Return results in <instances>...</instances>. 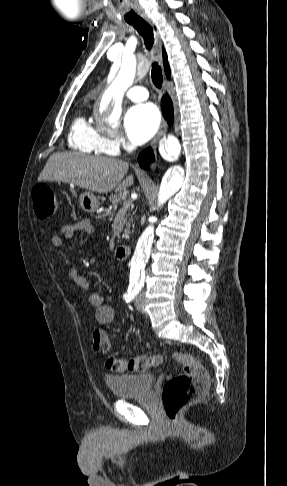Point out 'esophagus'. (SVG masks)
<instances>
[{
  "label": "esophagus",
  "mask_w": 287,
  "mask_h": 486,
  "mask_svg": "<svg viewBox=\"0 0 287 486\" xmlns=\"http://www.w3.org/2000/svg\"><path fill=\"white\" fill-rule=\"evenodd\" d=\"M144 20L152 27L155 35V52L157 54L158 59L160 62H162V40L158 31L157 26L154 24V22L148 18L144 17ZM167 130V123L166 121H163L159 131L157 132L156 136L153 138V140L150 143V147L154 149V152L156 150V146L160 138L166 133Z\"/></svg>",
  "instance_id": "1"
}]
</instances>
